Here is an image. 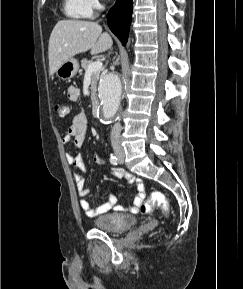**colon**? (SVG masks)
Here are the masks:
<instances>
[{"label": "colon", "instance_id": "colon-1", "mask_svg": "<svg viewBox=\"0 0 243 289\" xmlns=\"http://www.w3.org/2000/svg\"><path fill=\"white\" fill-rule=\"evenodd\" d=\"M54 110L58 117H65L68 113V108L63 103H56ZM156 207L160 208L165 214L170 211L168 200L159 191L152 192L149 198L141 203L139 209L143 214H150Z\"/></svg>", "mask_w": 243, "mask_h": 289}]
</instances>
